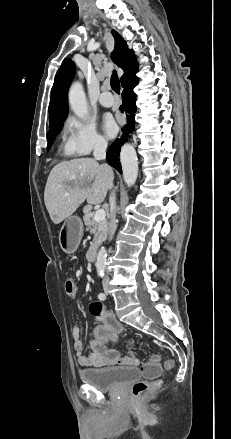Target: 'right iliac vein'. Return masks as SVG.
Returning a JSON list of instances; mask_svg holds the SVG:
<instances>
[{
  "mask_svg": "<svg viewBox=\"0 0 231 439\" xmlns=\"http://www.w3.org/2000/svg\"><path fill=\"white\" fill-rule=\"evenodd\" d=\"M107 289H108V286H107V285H105V286H104V290L106 291Z\"/></svg>",
  "mask_w": 231,
  "mask_h": 439,
  "instance_id": "obj_1",
  "label": "right iliac vein"
}]
</instances>
